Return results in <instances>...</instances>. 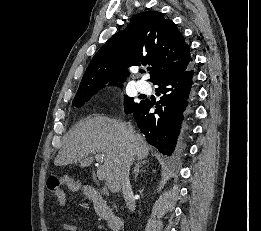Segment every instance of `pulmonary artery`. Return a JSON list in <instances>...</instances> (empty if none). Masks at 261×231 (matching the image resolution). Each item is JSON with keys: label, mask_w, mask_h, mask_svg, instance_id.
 Here are the masks:
<instances>
[{"label": "pulmonary artery", "mask_w": 261, "mask_h": 231, "mask_svg": "<svg viewBox=\"0 0 261 231\" xmlns=\"http://www.w3.org/2000/svg\"><path fill=\"white\" fill-rule=\"evenodd\" d=\"M137 87L142 92H146L147 91V84L143 80H140V81L137 82Z\"/></svg>", "instance_id": "pulmonary-artery-1"}]
</instances>
